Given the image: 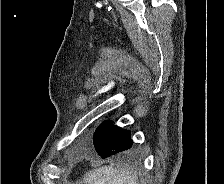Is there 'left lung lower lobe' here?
<instances>
[{
  "instance_id": "obj_1",
  "label": "left lung lower lobe",
  "mask_w": 224,
  "mask_h": 184,
  "mask_svg": "<svg viewBox=\"0 0 224 184\" xmlns=\"http://www.w3.org/2000/svg\"><path fill=\"white\" fill-rule=\"evenodd\" d=\"M93 143L97 153L103 158L131 148L133 141L130 132L105 121L98 126L94 133Z\"/></svg>"
}]
</instances>
